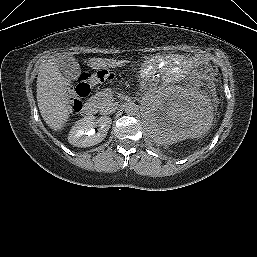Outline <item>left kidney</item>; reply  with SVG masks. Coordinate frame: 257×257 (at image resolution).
<instances>
[{"label":"left kidney","mask_w":257,"mask_h":257,"mask_svg":"<svg viewBox=\"0 0 257 257\" xmlns=\"http://www.w3.org/2000/svg\"><path fill=\"white\" fill-rule=\"evenodd\" d=\"M204 98L194 91L171 87L151 95L143 109L144 125L153 141L170 145L201 136L210 118Z\"/></svg>","instance_id":"left-kidney-1"}]
</instances>
